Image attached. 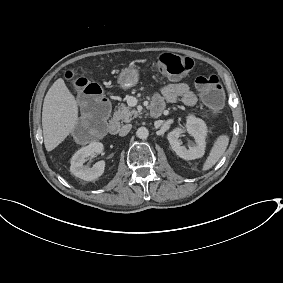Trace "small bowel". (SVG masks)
Segmentation results:
<instances>
[{
	"mask_svg": "<svg viewBox=\"0 0 283 283\" xmlns=\"http://www.w3.org/2000/svg\"><path fill=\"white\" fill-rule=\"evenodd\" d=\"M182 102L187 106H194L197 103L195 92L186 83H169L161 89L160 94L153 97V104L164 107L165 102Z\"/></svg>",
	"mask_w": 283,
	"mask_h": 283,
	"instance_id": "obj_1",
	"label": "small bowel"
}]
</instances>
